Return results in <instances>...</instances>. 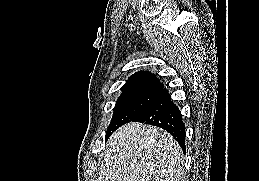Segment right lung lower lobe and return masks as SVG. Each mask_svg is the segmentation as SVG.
<instances>
[{
    "label": "right lung lower lobe",
    "mask_w": 259,
    "mask_h": 181,
    "mask_svg": "<svg viewBox=\"0 0 259 181\" xmlns=\"http://www.w3.org/2000/svg\"><path fill=\"white\" fill-rule=\"evenodd\" d=\"M132 121L155 125L165 129L178 141L181 148L185 151L186 132L182 115L171 100V96L163 84L151 103ZM108 137H106V140Z\"/></svg>",
    "instance_id": "right-lung-lower-lobe-1"
}]
</instances>
